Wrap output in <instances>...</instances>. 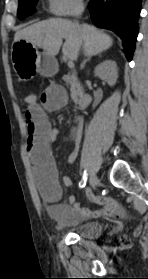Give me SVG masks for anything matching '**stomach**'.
Listing matches in <instances>:
<instances>
[{"mask_svg":"<svg viewBox=\"0 0 148 279\" xmlns=\"http://www.w3.org/2000/svg\"><path fill=\"white\" fill-rule=\"evenodd\" d=\"M13 68L20 79H28L32 75H52L57 70L54 57L40 53L36 46L25 40L17 41L11 54Z\"/></svg>","mask_w":148,"mask_h":279,"instance_id":"1","label":"stomach"}]
</instances>
